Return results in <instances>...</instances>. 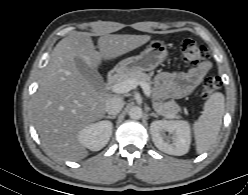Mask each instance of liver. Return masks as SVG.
Listing matches in <instances>:
<instances>
[{"mask_svg":"<svg viewBox=\"0 0 248 195\" xmlns=\"http://www.w3.org/2000/svg\"><path fill=\"white\" fill-rule=\"evenodd\" d=\"M150 35L106 34L99 51L88 32H73L54 47L33 101L35 128L56 157L80 160L88 151L79 142L80 131L104 117L109 96L98 92L77 69L75 58L97 69L102 60L126 54L150 40Z\"/></svg>","mask_w":248,"mask_h":195,"instance_id":"1","label":"liver"}]
</instances>
